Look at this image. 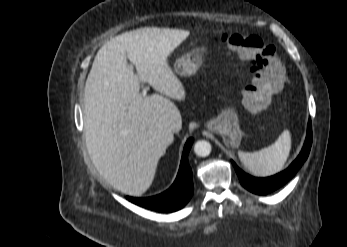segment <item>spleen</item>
I'll return each instance as SVG.
<instances>
[{
    "mask_svg": "<svg viewBox=\"0 0 347 247\" xmlns=\"http://www.w3.org/2000/svg\"><path fill=\"white\" fill-rule=\"evenodd\" d=\"M291 132L284 130L269 147L256 152H239V159L245 168L256 176H270L284 167L291 151Z\"/></svg>",
    "mask_w": 347,
    "mask_h": 247,
    "instance_id": "3e777b00",
    "label": "spleen"
}]
</instances>
